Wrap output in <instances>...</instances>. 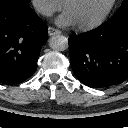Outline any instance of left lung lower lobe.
<instances>
[{"mask_svg": "<svg viewBox=\"0 0 128 128\" xmlns=\"http://www.w3.org/2000/svg\"><path fill=\"white\" fill-rule=\"evenodd\" d=\"M75 76L94 88L128 79V11L114 15L100 27L69 38Z\"/></svg>", "mask_w": 128, "mask_h": 128, "instance_id": "left-lung-lower-lobe-1", "label": "left lung lower lobe"}]
</instances>
